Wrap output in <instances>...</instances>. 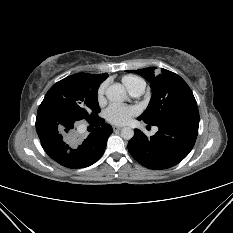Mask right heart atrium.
Returning <instances> with one entry per match:
<instances>
[{
  "instance_id": "d8ad5b80",
  "label": "right heart atrium",
  "mask_w": 233,
  "mask_h": 233,
  "mask_svg": "<svg viewBox=\"0 0 233 233\" xmlns=\"http://www.w3.org/2000/svg\"><path fill=\"white\" fill-rule=\"evenodd\" d=\"M104 91H105V88L103 85H101L97 91V100L99 103L103 102L104 100Z\"/></svg>"
}]
</instances>
